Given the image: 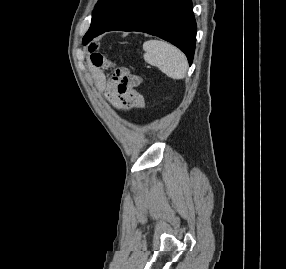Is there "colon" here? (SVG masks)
<instances>
[{
    "label": "colon",
    "mask_w": 286,
    "mask_h": 269,
    "mask_svg": "<svg viewBox=\"0 0 286 269\" xmlns=\"http://www.w3.org/2000/svg\"><path fill=\"white\" fill-rule=\"evenodd\" d=\"M116 71L117 88H119V95H122V100H125L127 110H140V105L144 104V97L139 92L142 88L143 78L131 74L127 70V65H114Z\"/></svg>",
    "instance_id": "colon-1"
}]
</instances>
